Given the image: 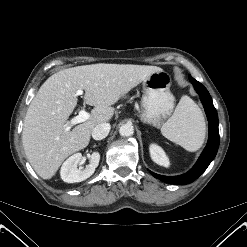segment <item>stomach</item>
Segmentation results:
<instances>
[{"mask_svg": "<svg viewBox=\"0 0 247 247\" xmlns=\"http://www.w3.org/2000/svg\"><path fill=\"white\" fill-rule=\"evenodd\" d=\"M171 76L164 70L154 72L143 82L141 120L160 127L172 114L175 98L170 92Z\"/></svg>", "mask_w": 247, "mask_h": 247, "instance_id": "stomach-1", "label": "stomach"}]
</instances>
